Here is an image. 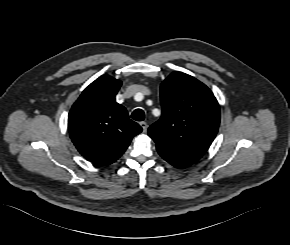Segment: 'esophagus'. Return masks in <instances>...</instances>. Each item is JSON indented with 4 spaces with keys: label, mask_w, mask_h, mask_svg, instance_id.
<instances>
[{
    "label": "esophagus",
    "mask_w": 290,
    "mask_h": 245,
    "mask_svg": "<svg viewBox=\"0 0 290 245\" xmlns=\"http://www.w3.org/2000/svg\"><path fill=\"white\" fill-rule=\"evenodd\" d=\"M140 126L142 127L143 132L146 133L147 132V128H148L147 123L142 121V122H140Z\"/></svg>",
    "instance_id": "obj_1"
}]
</instances>
